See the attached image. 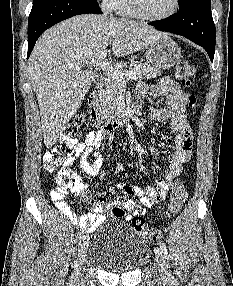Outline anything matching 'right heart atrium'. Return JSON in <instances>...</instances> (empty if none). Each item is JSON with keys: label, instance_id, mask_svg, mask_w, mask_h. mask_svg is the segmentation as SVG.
<instances>
[{"label": "right heart atrium", "instance_id": "obj_1", "mask_svg": "<svg viewBox=\"0 0 233 286\" xmlns=\"http://www.w3.org/2000/svg\"><path fill=\"white\" fill-rule=\"evenodd\" d=\"M101 6L106 11H111L113 9L116 0H100Z\"/></svg>", "mask_w": 233, "mask_h": 286}]
</instances>
